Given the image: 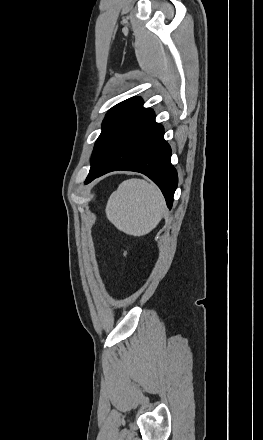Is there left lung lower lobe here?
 <instances>
[{"mask_svg": "<svg viewBox=\"0 0 263 440\" xmlns=\"http://www.w3.org/2000/svg\"><path fill=\"white\" fill-rule=\"evenodd\" d=\"M162 125L155 122L150 108H141L128 125L106 165L90 173L85 184L115 170L140 172L161 189L167 206L171 208L177 188V172L171 164V148L164 140Z\"/></svg>", "mask_w": 263, "mask_h": 440, "instance_id": "1", "label": "left lung lower lobe"}]
</instances>
